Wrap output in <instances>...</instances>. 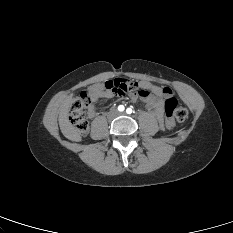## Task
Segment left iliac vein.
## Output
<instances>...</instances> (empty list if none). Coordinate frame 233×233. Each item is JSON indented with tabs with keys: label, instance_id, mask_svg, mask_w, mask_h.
<instances>
[{
	"label": "left iliac vein",
	"instance_id": "obj_1",
	"mask_svg": "<svg viewBox=\"0 0 233 233\" xmlns=\"http://www.w3.org/2000/svg\"><path fill=\"white\" fill-rule=\"evenodd\" d=\"M121 115H124L125 113L124 112H122V113H120Z\"/></svg>",
	"mask_w": 233,
	"mask_h": 233
}]
</instances>
